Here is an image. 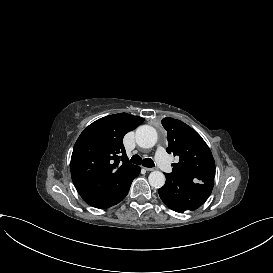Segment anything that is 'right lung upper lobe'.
Instances as JSON below:
<instances>
[{
	"instance_id": "cb5924a9",
	"label": "right lung upper lobe",
	"mask_w": 273,
	"mask_h": 273,
	"mask_svg": "<svg viewBox=\"0 0 273 273\" xmlns=\"http://www.w3.org/2000/svg\"><path fill=\"white\" fill-rule=\"evenodd\" d=\"M143 121L127 113L114 114L96 120L80 134L71 156V176L89 205H111L140 169L128 161L123 137Z\"/></svg>"
}]
</instances>
